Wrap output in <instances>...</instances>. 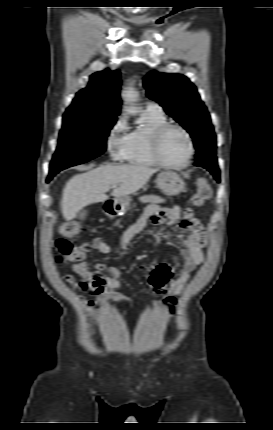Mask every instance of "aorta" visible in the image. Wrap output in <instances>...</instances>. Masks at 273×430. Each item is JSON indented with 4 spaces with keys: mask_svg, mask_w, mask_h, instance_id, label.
Segmentation results:
<instances>
[{
    "mask_svg": "<svg viewBox=\"0 0 273 430\" xmlns=\"http://www.w3.org/2000/svg\"><path fill=\"white\" fill-rule=\"evenodd\" d=\"M123 98L125 100V103L130 105L127 111L130 114H136L138 111L135 107V103L138 100V93L132 87H130L123 92Z\"/></svg>",
    "mask_w": 273,
    "mask_h": 430,
    "instance_id": "aorta-1",
    "label": "aorta"
}]
</instances>
